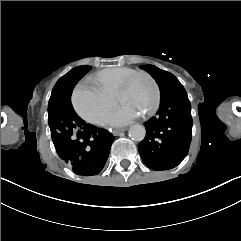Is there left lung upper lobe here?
I'll return each instance as SVG.
<instances>
[{
	"label": "left lung upper lobe",
	"instance_id": "obj_1",
	"mask_svg": "<svg viewBox=\"0 0 241 241\" xmlns=\"http://www.w3.org/2000/svg\"><path fill=\"white\" fill-rule=\"evenodd\" d=\"M140 68L146 70L155 78L160 88L161 97L167 95L174 90L184 88L174 75L164 70H161L154 65H143L140 66Z\"/></svg>",
	"mask_w": 241,
	"mask_h": 241
}]
</instances>
